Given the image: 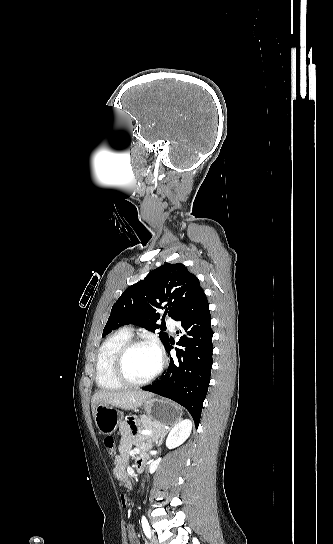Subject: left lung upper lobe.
<instances>
[{
    "mask_svg": "<svg viewBox=\"0 0 333 544\" xmlns=\"http://www.w3.org/2000/svg\"><path fill=\"white\" fill-rule=\"evenodd\" d=\"M198 278L181 263H166L152 270L144 280L129 286L111 309L103 336L126 324H134L151 332L160 328L158 309H164L176 319L203 293ZM164 346L169 341L165 332L159 333Z\"/></svg>",
    "mask_w": 333,
    "mask_h": 544,
    "instance_id": "1",
    "label": "left lung upper lobe"
}]
</instances>
